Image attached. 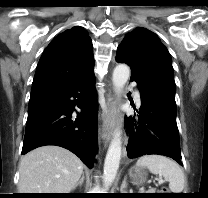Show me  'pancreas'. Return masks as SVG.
Here are the masks:
<instances>
[{"label": "pancreas", "mask_w": 208, "mask_h": 198, "mask_svg": "<svg viewBox=\"0 0 208 198\" xmlns=\"http://www.w3.org/2000/svg\"><path fill=\"white\" fill-rule=\"evenodd\" d=\"M155 192V189H151L149 191H147V193H154Z\"/></svg>", "instance_id": "1"}]
</instances>
